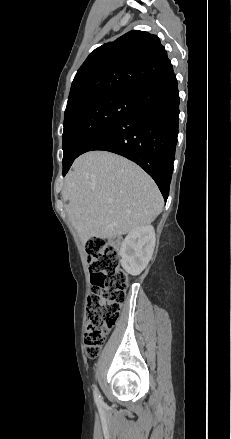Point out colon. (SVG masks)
Instances as JSON below:
<instances>
[{"mask_svg":"<svg viewBox=\"0 0 231 439\" xmlns=\"http://www.w3.org/2000/svg\"><path fill=\"white\" fill-rule=\"evenodd\" d=\"M86 253L93 291L88 297L84 345L87 356L95 359L119 318L129 279L121 269L119 253L113 243L90 240Z\"/></svg>","mask_w":231,"mask_h":439,"instance_id":"5ec220e1","label":"colon"}]
</instances>
